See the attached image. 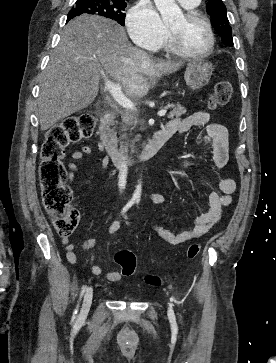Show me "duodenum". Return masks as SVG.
<instances>
[{"instance_id": "1", "label": "duodenum", "mask_w": 276, "mask_h": 363, "mask_svg": "<svg viewBox=\"0 0 276 363\" xmlns=\"http://www.w3.org/2000/svg\"><path fill=\"white\" fill-rule=\"evenodd\" d=\"M114 116L115 113L113 111H104L100 115L98 126L99 140L114 166H119L123 163H134L139 160L149 159L154 154H156L164 145V143L169 139V135L167 133L158 131L155 135L152 136V138L142 149L131 153H124L117 149L109 134V128L114 119Z\"/></svg>"}]
</instances>
